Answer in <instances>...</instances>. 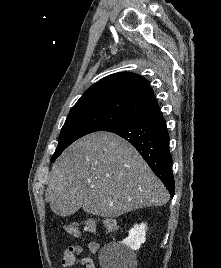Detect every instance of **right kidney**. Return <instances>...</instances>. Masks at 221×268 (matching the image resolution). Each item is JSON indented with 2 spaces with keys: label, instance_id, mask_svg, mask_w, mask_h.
<instances>
[{
  "label": "right kidney",
  "instance_id": "right-kidney-1",
  "mask_svg": "<svg viewBox=\"0 0 221 268\" xmlns=\"http://www.w3.org/2000/svg\"><path fill=\"white\" fill-rule=\"evenodd\" d=\"M146 224L142 223L140 225H134L133 228L129 230L128 237L124 240V244L133 250H138L146 240Z\"/></svg>",
  "mask_w": 221,
  "mask_h": 268
}]
</instances>
